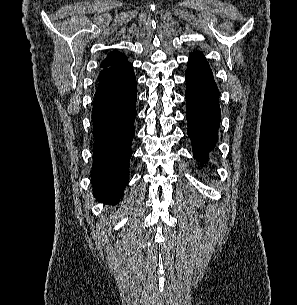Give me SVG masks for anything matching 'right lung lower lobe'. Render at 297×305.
Returning <instances> with one entry per match:
<instances>
[{
  "label": "right lung lower lobe",
  "instance_id": "98d812e1",
  "mask_svg": "<svg viewBox=\"0 0 297 305\" xmlns=\"http://www.w3.org/2000/svg\"><path fill=\"white\" fill-rule=\"evenodd\" d=\"M137 81L131 64L99 80L92 109L91 183L98 200L117 202L128 183Z\"/></svg>",
  "mask_w": 297,
  "mask_h": 305
}]
</instances>
